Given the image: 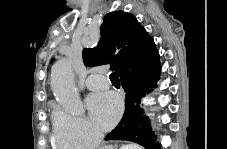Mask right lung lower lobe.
Listing matches in <instances>:
<instances>
[{
	"label": "right lung lower lobe",
	"mask_w": 227,
	"mask_h": 149,
	"mask_svg": "<svg viewBox=\"0 0 227 149\" xmlns=\"http://www.w3.org/2000/svg\"><path fill=\"white\" fill-rule=\"evenodd\" d=\"M161 65L159 57L144 66L134 68L121 76L122 87L126 92L125 113L117 127L105 140H127L144 146L146 149H159L156 137L151 131L148 118L143 116L141 98L152 88L157 87Z\"/></svg>",
	"instance_id": "right-lung-lower-lobe-1"
}]
</instances>
